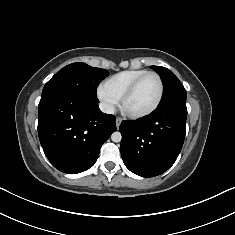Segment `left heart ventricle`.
<instances>
[{
	"label": "left heart ventricle",
	"mask_w": 235,
	"mask_h": 235,
	"mask_svg": "<svg viewBox=\"0 0 235 235\" xmlns=\"http://www.w3.org/2000/svg\"><path fill=\"white\" fill-rule=\"evenodd\" d=\"M159 95V82L155 76H147L126 101L125 107L130 112H142L156 102Z\"/></svg>",
	"instance_id": "obj_1"
}]
</instances>
